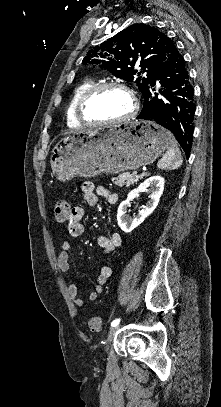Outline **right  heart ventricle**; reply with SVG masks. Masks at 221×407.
<instances>
[{
	"instance_id": "right-heart-ventricle-1",
	"label": "right heart ventricle",
	"mask_w": 221,
	"mask_h": 407,
	"mask_svg": "<svg viewBox=\"0 0 221 407\" xmlns=\"http://www.w3.org/2000/svg\"><path fill=\"white\" fill-rule=\"evenodd\" d=\"M95 83L92 80H85L80 82L71 92L67 105H66V120L67 124L70 126H80L81 121L77 114V102L79 98Z\"/></svg>"
}]
</instances>
